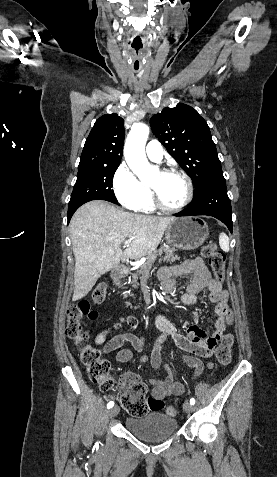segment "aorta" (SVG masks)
<instances>
[{"label": "aorta", "mask_w": 277, "mask_h": 477, "mask_svg": "<svg viewBox=\"0 0 277 477\" xmlns=\"http://www.w3.org/2000/svg\"><path fill=\"white\" fill-rule=\"evenodd\" d=\"M149 135V127L143 123H135L127 136L124 155L129 168L141 181L151 180L157 167L150 165L145 154V145Z\"/></svg>", "instance_id": "762f6f07"}]
</instances>
